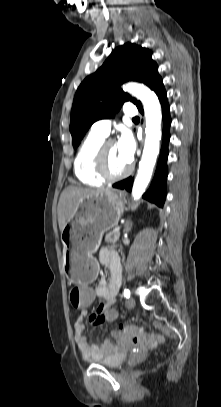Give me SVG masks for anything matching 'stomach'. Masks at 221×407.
<instances>
[{
  "mask_svg": "<svg viewBox=\"0 0 221 407\" xmlns=\"http://www.w3.org/2000/svg\"><path fill=\"white\" fill-rule=\"evenodd\" d=\"M124 211L120 192L107 189L85 197L61 232L63 269L72 283H91L99 270L93 256L103 234L117 226Z\"/></svg>",
  "mask_w": 221,
  "mask_h": 407,
  "instance_id": "0dacf381",
  "label": "stomach"
}]
</instances>
